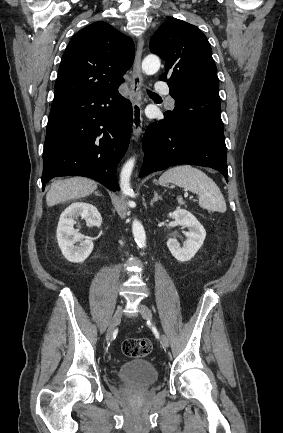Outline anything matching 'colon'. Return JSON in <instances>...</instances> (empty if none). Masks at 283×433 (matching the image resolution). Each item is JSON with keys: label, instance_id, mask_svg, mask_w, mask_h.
Returning <instances> with one entry per match:
<instances>
[{"label": "colon", "instance_id": "1", "mask_svg": "<svg viewBox=\"0 0 283 433\" xmlns=\"http://www.w3.org/2000/svg\"><path fill=\"white\" fill-rule=\"evenodd\" d=\"M152 350V343L145 338H130L122 345L123 353L131 358L146 357Z\"/></svg>", "mask_w": 283, "mask_h": 433}]
</instances>
